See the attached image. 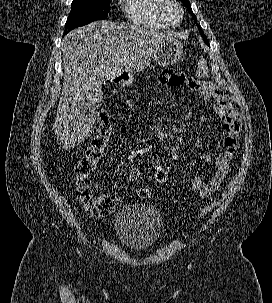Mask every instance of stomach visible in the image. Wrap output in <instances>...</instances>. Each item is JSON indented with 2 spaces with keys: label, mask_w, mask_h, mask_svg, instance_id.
<instances>
[{
  "label": "stomach",
  "mask_w": 272,
  "mask_h": 303,
  "mask_svg": "<svg viewBox=\"0 0 272 303\" xmlns=\"http://www.w3.org/2000/svg\"><path fill=\"white\" fill-rule=\"evenodd\" d=\"M182 54V43L174 38H168L159 45L154 61L157 65L165 67L177 63Z\"/></svg>",
  "instance_id": "stomach-1"
}]
</instances>
